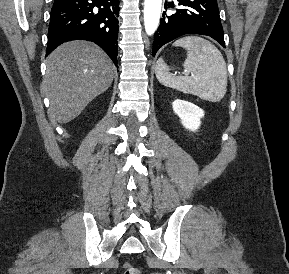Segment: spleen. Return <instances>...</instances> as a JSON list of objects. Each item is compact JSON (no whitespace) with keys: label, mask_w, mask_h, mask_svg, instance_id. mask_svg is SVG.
Here are the masks:
<instances>
[{"label":"spleen","mask_w":289,"mask_h":274,"mask_svg":"<svg viewBox=\"0 0 289 274\" xmlns=\"http://www.w3.org/2000/svg\"><path fill=\"white\" fill-rule=\"evenodd\" d=\"M175 47L187 49L184 68L191 76H175L160 58L155 67L158 81L183 93L203 100L218 102L227 91V68L220 51L209 41L198 36H186L176 40Z\"/></svg>","instance_id":"1"}]
</instances>
